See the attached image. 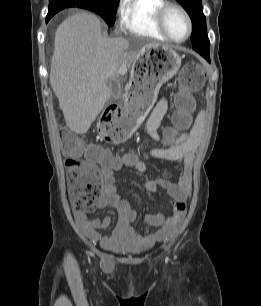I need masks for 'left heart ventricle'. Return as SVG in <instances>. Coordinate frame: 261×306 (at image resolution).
I'll return each mask as SVG.
<instances>
[{"label":"left heart ventricle","mask_w":261,"mask_h":306,"mask_svg":"<svg viewBox=\"0 0 261 306\" xmlns=\"http://www.w3.org/2000/svg\"><path fill=\"white\" fill-rule=\"evenodd\" d=\"M165 24L174 39L180 40L186 36L187 23L179 11L171 9L165 17Z\"/></svg>","instance_id":"b2bd125f"}]
</instances>
